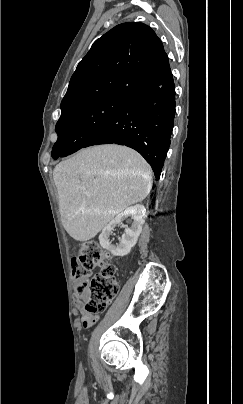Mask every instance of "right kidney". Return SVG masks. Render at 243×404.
I'll list each match as a JSON object with an SVG mask.
<instances>
[{"instance_id": "right-kidney-1", "label": "right kidney", "mask_w": 243, "mask_h": 404, "mask_svg": "<svg viewBox=\"0 0 243 404\" xmlns=\"http://www.w3.org/2000/svg\"><path fill=\"white\" fill-rule=\"evenodd\" d=\"M145 214L146 210L141 204L131 206V208H127V210L118 214L108 226L103 228L99 236L100 246L105 248V250H108V252H111L112 256H127V254L131 252V248L135 246L138 236H140L142 232V226L145 222ZM126 218H131V226L130 228H126L124 234H122L120 244L113 246L109 240V236L112 230L116 228L117 224H122L123 220H126Z\"/></svg>"}]
</instances>
